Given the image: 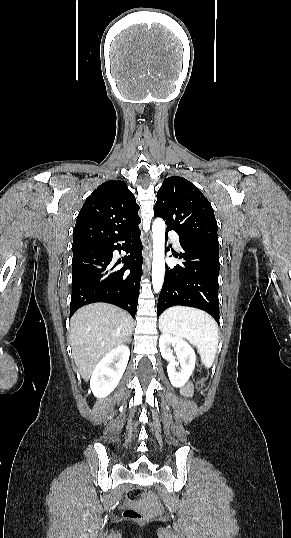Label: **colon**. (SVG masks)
<instances>
[{
  "instance_id": "obj_1",
  "label": "colon",
  "mask_w": 291,
  "mask_h": 538,
  "mask_svg": "<svg viewBox=\"0 0 291 538\" xmlns=\"http://www.w3.org/2000/svg\"><path fill=\"white\" fill-rule=\"evenodd\" d=\"M207 378L206 370L200 368L195 372L194 380L197 384H203ZM144 492L142 489L134 487L127 492V499L131 502H136L142 499ZM124 516L128 519L144 521L147 519V515L143 512L135 510L133 508H128L124 512Z\"/></svg>"
}]
</instances>
